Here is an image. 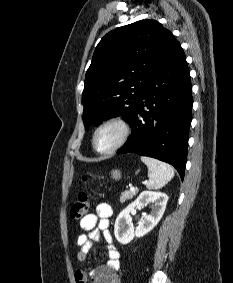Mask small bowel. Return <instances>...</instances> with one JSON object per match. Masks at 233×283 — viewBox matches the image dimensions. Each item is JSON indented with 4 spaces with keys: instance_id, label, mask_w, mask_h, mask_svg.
<instances>
[{
    "instance_id": "obj_1",
    "label": "small bowel",
    "mask_w": 233,
    "mask_h": 283,
    "mask_svg": "<svg viewBox=\"0 0 233 283\" xmlns=\"http://www.w3.org/2000/svg\"><path fill=\"white\" fill-rule=\"evenodd\" d=\"M113 214L111 206L107 203H100L94 213L87 214L81 221L80 227L84 233L77 239L78 251L76 258L83 262L90 252L93 242H99L100 233L106 244L108 261L105 265L93 269L89 276L92 283H121L118 270L120 268V253L113 242V237L109 229L110 218ZM87 274L83 271L75 273L76 283H86Z\"/></svg>"
}]
</instances>
